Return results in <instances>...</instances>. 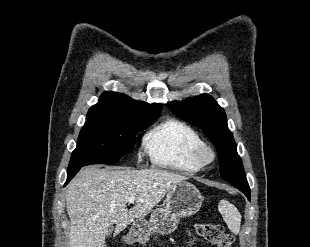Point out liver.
<instances>
[{"mask_svg": "<svg viewBox=\"0 0 310 247\" xmlns=\"http://www.w3.org/2000/svg\"><path fill=\"white\" fill-rule=\"evenodd\" d=\"M187 177L160 169L81 170L66 188V207L71 220L69 247H106L108 229L115 233L135 219L145 217L174 186ZM136 204L128 210L129 197Z\"/></svg>", "mask_w": 310, "mask_h": 247, "instance_id": "1", "label": "liver"}]
</instances>
